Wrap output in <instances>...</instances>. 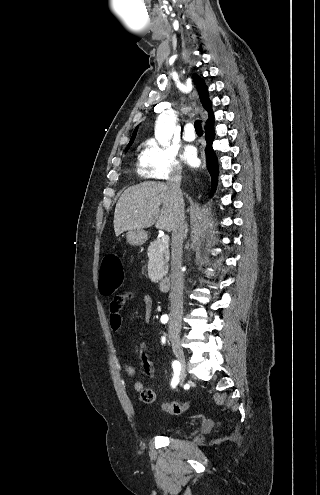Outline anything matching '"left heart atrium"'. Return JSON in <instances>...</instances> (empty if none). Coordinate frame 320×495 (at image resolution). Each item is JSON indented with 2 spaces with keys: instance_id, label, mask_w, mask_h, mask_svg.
<instances>
[{
  "instance_id": "39dd6f15",
  "label": "left heart atrium",
  "mask_w": 320,
  "mask_h": 495,
  "mask_svg": "<svg viewBox=\"0 0 320 495\" xmlns=\"http://www.w3.org/2000/svg\"><path fill=\"white\" fill-rule=\"evenodd\" d=\"M183 160L189 165H195L197 163V153L194 147H187L182 154Z\"/></svg>"
}]
</instances>
